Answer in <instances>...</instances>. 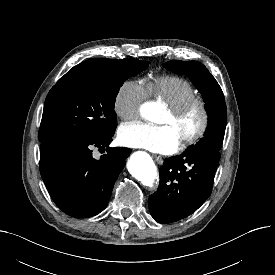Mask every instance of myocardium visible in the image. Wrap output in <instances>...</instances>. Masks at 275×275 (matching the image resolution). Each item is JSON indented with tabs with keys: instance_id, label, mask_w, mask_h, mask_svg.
<instances>
[{
	"instance_id": "obj_1",
	"label": "myocardium",
	"mask_w": 275,
	"mask_h": 275,
	"mask_svg": "<svg viewBox=\"0 0 275 275\" xmlns=\"http://www.w3.org/2000/svg\"><path fill=\"white\" fill-rule=\"evenodd\" d=\"M199 108L201 112V122L198 127V129L189 137L183 139L179 143L180 149H185L195 143H197L206 133L209 122H210V111L207 102L199 97V96H193L190 97L181 103L169 106L168 111L172 115L173 118H179L183 116L185 113H187L192 108Z\"/></svg>"
}]
</instances>
